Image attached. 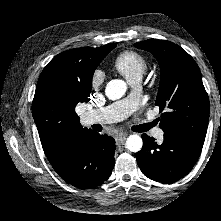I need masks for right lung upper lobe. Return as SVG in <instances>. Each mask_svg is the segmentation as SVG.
<instances>
[{"mask_svg":"<svg viewBox=\"0 0 221 221\" xmlns=\"http://www.w3.org/2000/svg\"><path fill=\"white\" fill-rule=\"evenodd\" d=\"M107 45L64 51L43 69L32 114L46 155L71 134L92 131L81 127L75 107L90 97V93L88 96L83 92V86L91 92L92 82L84 80V75L103 57Z\"/></svg>","mask_w":221,"mask_h":221,"instance_id":"obj_1","label":"right lung upper lobe"}]
</instances>
